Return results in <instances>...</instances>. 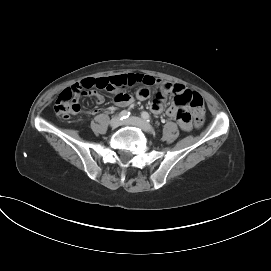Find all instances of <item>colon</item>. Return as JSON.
I'll return each instance as SVG.
<instances>
[{"label":"colon","mask_w":271,"mask_h":271,"mask_svg":"<svg viewBox=\"0 0 271 271\" xmlns=\"http://www.w3.org/2000/svg\"><path fill=\"white\" fill-rule=\"evenodd\" d=\"M93 86L97 87V80L95 82L84 84L78 83L71 88H67L62 91L55 102V112L64 118H69L71 115L79 113L81 107L77 97L83 94L84 89H89ZM175 101L179 104L190 105L195 110V127L199 128L202 126L204 115V101L200 94L190 92L182 96L176 97Z\"/></svg>","instance_id":"5ec220e1"}]
</instances>
